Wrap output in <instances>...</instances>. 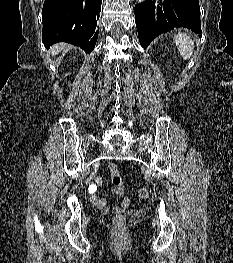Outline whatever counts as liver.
I'll return each mask as SVG.
<instances>
[{
    "label": "liver",
    "mask_w": 233,
    "mask_h": 263,
    "mask_svg": "<svg viewBox=\"0 0 233 263\" xmlns=\"http://www.w3.org/2000/svg\"><path fill=\"white\" fill-rule=\"evenodd\" d=\"M64 47H65V44H63V43H59V44L54 45L51 48L52 55L58 54L61 50L64 49Z\"/></svg>",
    "instance_id": "liver-1"
}]
</instances>
